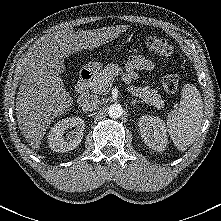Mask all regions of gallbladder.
Masks as SVG:
<instances>
[{
    "mask_svg": "<svg viewBox=\"0 0 221 221\" xmlns=\"http://www.w3.org/2000/svg\"><path fill=\"white\" fill-rule=\"evenodd\" d=\"M60 71H61V72H63V71H64V69H63V68H60Z\"/></svg>",
    "mask_w": 221,
    "mask_h": 221,
    "instance_id": "obj_1",
    "label": "gallbladder"
}]
</instances>
